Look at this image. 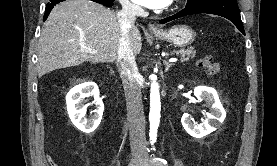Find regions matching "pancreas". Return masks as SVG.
<instances>
[{
	"mask_svg": "<svg viewBox=\"0 0 277 166\" xmlns=\"http://www.w3.org/2000/svg\"><path fill=\"white\" fill-rule=\"evenodd\" d=\"M179 54L183 57V60L186 61V60H189L190 57H194L196 55V52L194 50V48H189V49H180L178 51H172L171 54Z\"/></svg>",
	"mask_w": 277,
	"mask_h": 166,
	"instance_id": "pancreas-1",
	"label": "pancreas"
}]
</instances>
